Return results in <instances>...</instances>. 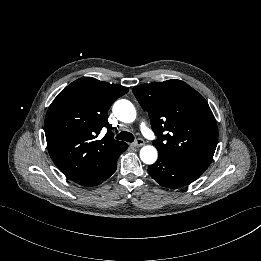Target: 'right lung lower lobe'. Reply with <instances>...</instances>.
I'll use <instances>...</instances> for the list:
<instances>
[{"mask_svg":"<svg viewBox=\"0 0 261 261\" xmlns=\"http://www.w3.org/2000/svg\"><path fill=\"white\" fill-rule=\"evenodd\" d=\"M119 155L110 159L102 167V169L100 171H98L90 176H87L83 179L73 180V181L82 186H86V187H91V186H96V185L101 184L115 172Z\"/></svg>","mask_w":261,"mask_h":261,"instance_id":"obj_1","label":"right lung lower lobe"}]
</instances>
